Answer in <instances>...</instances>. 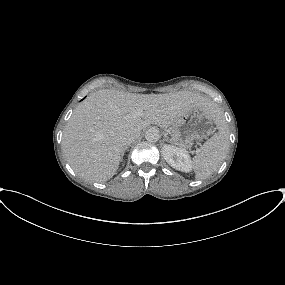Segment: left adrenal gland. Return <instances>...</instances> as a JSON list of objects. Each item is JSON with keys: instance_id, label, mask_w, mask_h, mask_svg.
Here are the masks:
<instances>
[{"instance_id": "1", "label": "left adrenal gland", "mask_w": 285, "mask_h": 285, "mask_svg": "<svg viewBox=\"0 0 285 285\" xmlns=\"http://www.w3.org/2000/svg\"><path fill=\"white\" fill-rule=\"evenodd\" d=\"M164 141H168V137L165 136Z\"/></svg>"}]
</instances>
